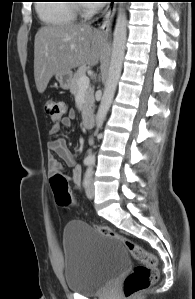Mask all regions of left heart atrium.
<instances>
[{"label": "left heart atrium", "mask_w": 195, "mask_h": 299, "mask_svg": "<svg viewBox=\"0 0 195 299\" xmlns=\"http://www.w3.org/2000/svg\"><path fill=\"white\" fill-rule=\"evenodd\" d=\"M93 3L91 4L92 6H100L102 5L101 4V1H92Z\"/></svg>", "instance_id": "obj_1"}]
</instances>
